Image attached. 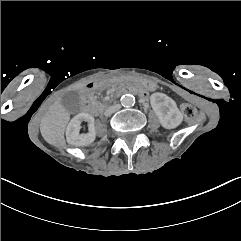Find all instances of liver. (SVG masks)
<instances>
[{
	"label": "liver",
	"instance_id": "1",
	"mask_svg": "<svg viewBox=\"0 0 241 241\" xmlns=\"http://www.w3.org/2000/svg\"><path fill=\"white\" fill-rule=\"evenodd\" d=\"M88 82L79 84L76 89L86 86ZM70 114L60 101H55L41 120L40 132L49 144L64 145V132L69 122Z\"/></svg>",
	"mask_w": 241,
	"mask_h": 241
}]
</instances>
